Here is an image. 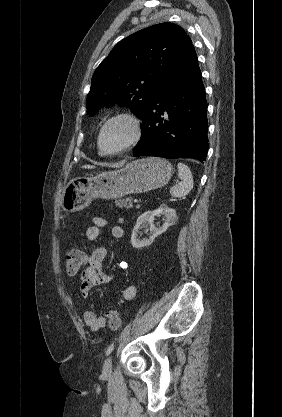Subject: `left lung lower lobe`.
Masks as SVG:
<instances>
[{
	"instance_id": "0a47b994",
	"label": "left lung lower lobe",
	"mask_w": 282,
	"mask_h": 417,
	"mask_svg": "<svg viewBox=\"0 0 282 417\" xmlns=\"http://www.w3.org/2000/svg\"><path fill=\"white\" fill-rule=\"evenodd\" d=\"M133 156L194 158L208 151L207 101L191 44L173 63L146 107Z\"/></svg>"
}]
</instances>
